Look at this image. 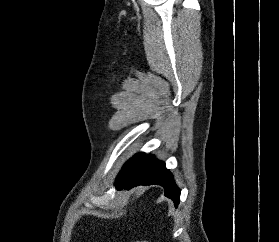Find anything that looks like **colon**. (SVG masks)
<instances>
[{
    "instance_id": "1",
    "label": "colon",
    "mask_w": 279,
    "mask_h": 242,
    "mask_svg": "<svg viewBox=\"0 0 279 242\" xmlns=\"http://www.w3.org/2000/svg\"><path fill=\"white\" fill-rule=\"evenodd\" d=\"M134 242H148V241H145V240H135Z\"/></svg>"
}]
</instances>
